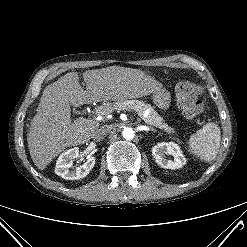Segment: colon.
<instances>
[{
  "label": "colon",
  "instance_id": "obj_1",
  "mask_svg": "<svg viewBox=\"0 0 247 247\" xmlns=\"http://www.w3.org/2000/svg\"><path fill=\"white\" fill-rule=\"evenodd\" d=\"M200 87L189 81L179 82L175 87L177 107L186 119H195L203 112L204 104L198 94Z\"/></svg>",
  "mask_w": 247,
  "mask_h": 247
}]
</instances>
